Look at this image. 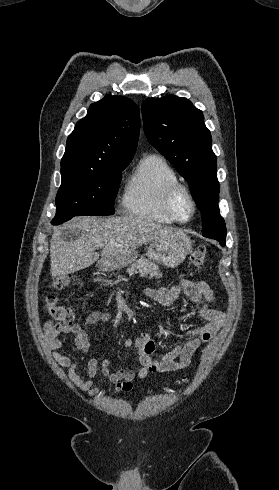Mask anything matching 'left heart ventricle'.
<instances>
[{"instance_id": "b2bd125f", "label": "left heart ventricle", "mask_w": 279, "mask_h": 490, "mask_svg": "<svg viewBox=\"0 0 279 490\" xmlns=\"http://www.w3.org/2000/svg\"><path fill=\"white\" fill-rule=\"evenodd\" d=\"M190 209H191L190 203H189L188 199L186 198V196L183 195L180 199V202H179L180 216L182 218L187 217V215L190 212Z\"/></svg>"}]
</instances>
